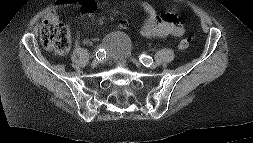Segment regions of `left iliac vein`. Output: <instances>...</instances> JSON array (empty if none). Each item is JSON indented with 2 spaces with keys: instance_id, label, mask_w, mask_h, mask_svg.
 <instances>
[{
  "instance_id": "left-iliac-vein-1",
  "label": "left iliac vein",
  "mask_w": 253,
  "mask_h": 143,
  "mask_svg": "<svg viewBox=\"0 0 253 143\" xmlns=\"http://www.w3.org/2000/svg\"><path fill=\"white\" fill-rule=\"evenodd\" d=\"M150 67H151L152 69H154V68L156 67V65L152 63V64L150 65Z\"/></svg>"
}]
</instances>
